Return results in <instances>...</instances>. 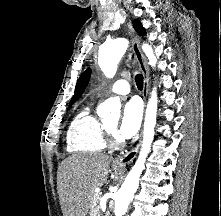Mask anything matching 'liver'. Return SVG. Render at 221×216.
Segmentation results:
<instances>
[{
	"label": "liver",
	"mask_w": 221,
	"mask_h": 216,
	"mask_svg": "<svg viewBox=\"0 0 221 216\" xmlns=\"http://www.w3.org/2000/svg\"><path fill=\"white\" fill-rule=\"evenodd\" d=\"M111 158L102 154H74L58 168V195L63 216H86L94 190L109 176Z\"/></svg>",
	"instance_id": "liver-1"
}]
</instances>
